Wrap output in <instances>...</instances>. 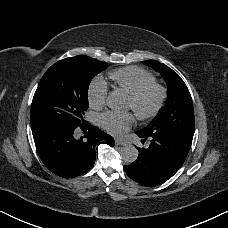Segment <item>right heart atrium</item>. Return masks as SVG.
I'll return each mask as SVG.
<instances>
[{
	"label": "right heart atrium",
	"mask_w": 228,
	"mask_h": 228,
	"mask_svg": "<svg viewBox=\"0 0 228 228\" xmlns=\"http://www.w3.org/2000/svg\"><path fill=\"white\" fill-rule=\"evenodd\" d=\"M106 100L107 87L102 81H97L89 89V105L94 109H101L106 104Z\"/></svg>",
	"instance_id": "right-heart-atrium-1"
}]
</instances>
